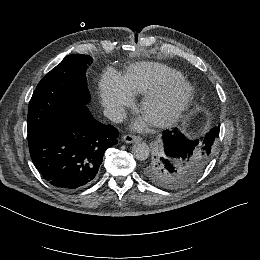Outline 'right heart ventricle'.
Wrapping results in <instances>:
<instances>
[{
  "label": "right heart ventricle",
  "mask_w": 260,
  "mask_h": 260,
  "mask_svg": "<svg viewBox=\"0 0 260 260\" xmlns=\"http://www.w3.org/2000/svg\"><path fill=\"white\" fill-rule=\"evenodd\" d=\"M136 75V89L141 93H149L162 83L183 77L181 72L163 63L143 62L132 68Z\"/></svg>",
  "instance_id": "right-heart-ventricle-1"
}]
</instances>
